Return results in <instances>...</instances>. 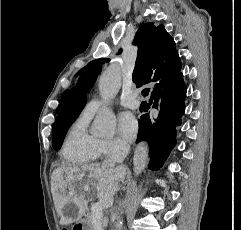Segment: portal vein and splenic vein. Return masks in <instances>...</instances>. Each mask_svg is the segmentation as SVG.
<instances>
[{
	"instance_id": "18ae733b",
	"label": "portal vein and splenic vein",
	"mask_w": 241,
	"mask_h": 230,
	"mask_svg": "<svg viewBox=\"0 0 241 230\" xmlns=\"http://www.w3.org/2000/svg\"><path fill=\"white\" fill-rule=\"evenodd\" d=\"M88 189V188H86ZM104 204H109V201L107 200H101L99 203H95L92 206V220L95 226L101 227L102 225V218H103V212L102 207Z\"/></svg>"
}]
</instances>
